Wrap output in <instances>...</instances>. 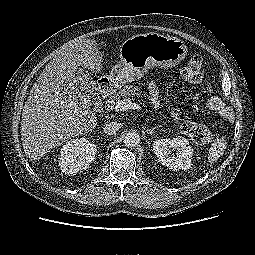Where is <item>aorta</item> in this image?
<instances>
[{
	"instance_id": "1",
	"label": "aorta",
	"mask_w": 255,
	"mask_h": 255,
	"mask_svg": "<svg viewBox=\"0 0 255 255\" xmlns=\"http://www.w3.org/2000/svg\"><path fill=\"white\" fill-rule=\"evenodd\" d=\"M123 142L127 147H135L140 142V136L135 130L128 131L123 137Z\"/></svg>"
}]
</instances>
